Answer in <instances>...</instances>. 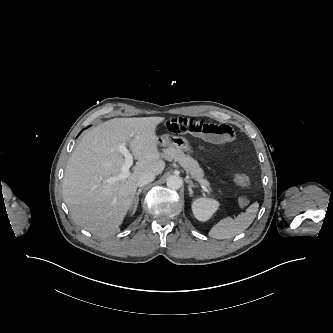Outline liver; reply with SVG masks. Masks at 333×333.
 Instances as JSON below:
<instances>
[{
  "label": "liver",
  "mask_w": 333,
  "mask_h": 333,
  "mask_svg": "<svg viewBox=\"0 0 333 333\" xmlns=\"http://www.w3.org/2000/svg\"><path fill=\"white\" fill-rule=\"evenodd\" d=\"M164 119L114 118L85 133L69 158L62 185L76 224L99 237L120 231L141 176L159 175L165 168L156 136V127ZM120 143H128L137 162L128 178L106 183L107 178L121 173Z\"/></svg>",
  "instance_id": "6515ba94"
}]
</instances>
